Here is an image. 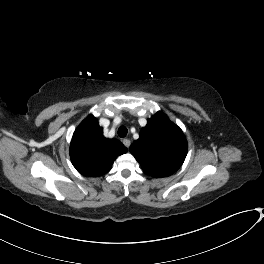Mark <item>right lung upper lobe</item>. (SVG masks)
Returning <instances> with one entry per match:
<instances>
[{
  "instance_id": "cb5924a9",
  "label": "right lung upper lobe",
  "mask_w": 264,
  "mask_h": 264,
  "mask_svg": "<svg viewBox=\"0 0 264 264\" xmlns=\"http://www.w3.org/2000/svg\"><path fill=\"white\" fill-rule=\"evenodd\" d=\"M126 152L121 142L103 136V129L93 115L78 126L70 145L72 164L82 175L91 177L107 173L115 159Z\"/></svg>"
}]
</instances>
